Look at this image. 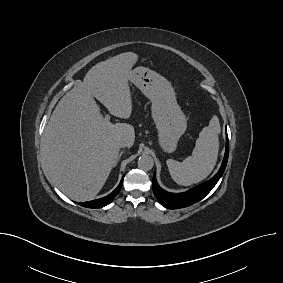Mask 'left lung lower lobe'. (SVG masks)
<instances>
[{
  "label": "left lung lower lobe",
  "mask_w": 283,
  "mask_h": 283,
  "mask_svg": "<svg viewBox=\"0 0 283 283\" xmlns=\"http://www.w3.org/2000/svg\"><path fill=\"white\" fill-rule=\"evenodd\" d=\"M229 154L228 136L226 137V149L222 165L217 174L207 182L198 185L183 193H169L163 190L157 183L155 174L153 176V192L159 203L169 209H179L188 207L201 199H203L216 185L218 180L223 175L227 165Z\"/></svg>",
  "instance_id": "left-lung-lower-lobe-1"
}]
</instances>
